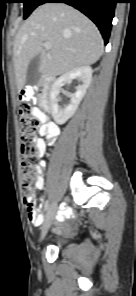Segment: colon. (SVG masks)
<instances>
[{
  "instance_id": "obj_1",
  "label": "colon",
  "mask_w": 136,
  "mask_h": 296,
  "mask_svg": "<svg viewBox=\"0 0 136 296\" xmlns=\"http://www.w3.org/2000/svg\"><path fill=\"white\" fill-rule=\"evenodd\" d=\"M33 90L26 89L20 96L19 103V137L21 154V174L23 180V196L26 212L29 220L38 221L39 215L35 210L34 184L38 178L36 160L38 156V146L35 133L39 127V119L36 116V109L29 103Z\"/></svg>"
}]
</instances>
